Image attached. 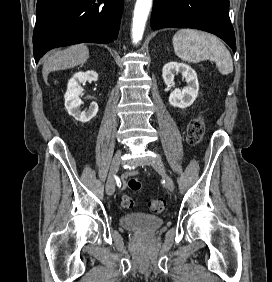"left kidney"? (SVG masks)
I'll use <instances>...</instances> for the list:
<instances>
[{"mask_svg": "<svg viewBox=\"0 0 272 282\" xmlns=\"http://www.w3.org/2000/svg\"><path fill=\"white\" fill-rule=\"evenodd\" d=\"M175 73H181L185 78L187 86L182 90L176 89L171 92L169 96V103L173 107L187 108L193 104L198 96L199 83L197 74L194 69L184 63L169 62L164 65L162 70V77L164 83L168 88L173 83Z\"/></svg>", "mask_w": 272, "mask_h": 282, "instance_id": "5707ae66", "label": "left kidney"}]
</instances>
